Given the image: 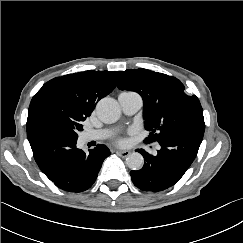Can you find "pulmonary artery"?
Masks as SVG:
<instances>
[{"mask_svg":"<svg viewBox=\"0 0 243 243\" xmlns=\"http://www.w3.org/2000/svg\"><path fill=\"white\" fill-rule=\"evenodd\" d=\"M118 99L123 112L129 116L135 114L142 107L143 103L141 96L136 93L123 92L119 95ZM108 135L109 131L107 130H95L83 133L82 140L83 142H89L92 140L103 139Z\"/></svg>","mask_w":243,"mask_h":243,"instance_id":"obj_1","label":"pulmonary artery"}]
</instances>
